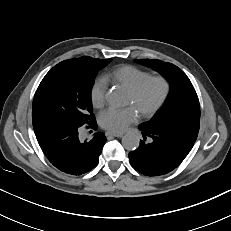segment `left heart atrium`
I'll return each instance as SVG.
<instances>
[{"mask_svg":"<svg viewBox=\"0 0 231 231\" xmlns=\"http://www.w3.org/2000/svg\"><path fill=\"white\" fill-rule=\"evenodd\" d=\"M137 119L138 112L133 106L123 109L109 108L101 113L99 123L105 130L121 133L125 131L129 125L136 122Z\"/></svg>","mask_w":231,"mask_h":231,"instance_id":"obj_1","label":"left heart atrium"}]
</instances>
